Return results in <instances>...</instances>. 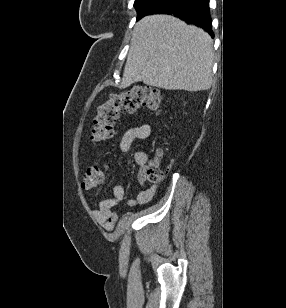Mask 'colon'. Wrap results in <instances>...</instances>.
<instances>
[{
	"label": "colon",
	"mask_w": 286,
	"mask_h": 308,
	"mask_svg": "<svg viewBox=\"0 0 286 308\" xmlns=\"http://www.w3.org/2000/svg\"><path fill=\"white\" fill-rule=\"evenodd\" d=\"M161 95L150 86H135L127 91L111 94L109 99L97 108L93 140L101 145L109 143L115 134V124L120 113H133L145 107L154 112H160ZM145 174L151 181H159L162 172L156 161L145 167ZM104 165L95 164L89 167L82 178V188L93 189L103 182Z\"/></svg>",
	"instance_id": "5ec220e1"
}]
</instances>
